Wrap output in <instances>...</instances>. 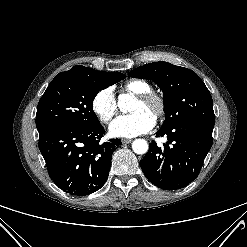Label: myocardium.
Listing matches in <instances>:
<instances>
[{"instance_id":"obj_1","label":"myocardium","mask_w":247,"mask_h":247,"mask_svg":"<svg viewBox=\"0 0 247 247\" xmlns=\"http://www.w3.org/2000/svg\"><path fill=\"white\" fill-rule=\"evenodd\" d=\"M137 100L145 105L154 106L155 119H159L164 116L166 112V102L163 96H161L160 94L153 92V91H149V92L137 95Z\"/></svg>"}]
</instances>
